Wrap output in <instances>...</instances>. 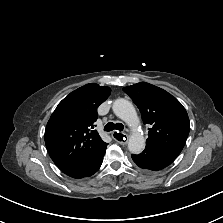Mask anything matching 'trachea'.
<instances>
[{
	"label": "trachea",
	"mask_w": 223,
	"mask_h": 223,
	"mask_svg": "<svg viewBox=\"0 0 223 223\" xmlns=\"http://www.w3.org/2000/svg\"><path fill=\"white\" fill-rule=\"evenodd\" d=\"M114 129L122 131L124 129V125L122 123H116L115 124L113 122H109L104 127V131H107V132H110Z\"/></svg>",
	"instance_id": "3493384b"
}]
</instances>
